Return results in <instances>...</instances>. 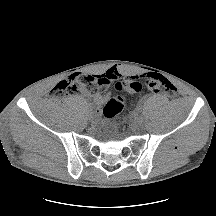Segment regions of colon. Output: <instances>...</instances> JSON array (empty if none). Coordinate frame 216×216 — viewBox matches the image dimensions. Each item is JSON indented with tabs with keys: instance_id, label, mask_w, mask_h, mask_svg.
<instances>
[{
	"instance_id": "5ec220e1",
	"label": "colon",
	"mask_w": 216,
	"mask_h": 216,
	"mask_svg": "<svg viewBox=\"0 0 216 216\" xmlns=\"http://www.w3.org/2000/svg\"><path fill=\"white\" fill-rule=\"evenodd\" d=\"M110 78L106 75H72L60 81L54 88L56 93L80 94L91 96L105 93L110 87ZM145 86L153 92L163 93L173 96L175 86L166 78L160 75H149L145 79ZM142 83L136 79L117 82L115 89L123 91H139ZM124 108L123 95L111 98L103 107V114L106 118H114L122 112Z\"/></svg>"
}]
</instances>
